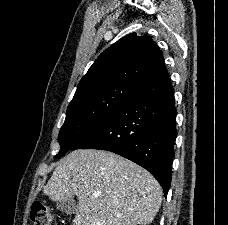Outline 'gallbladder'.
<instances>
[{
  "mask_svg": "<svg viewBox=\"0 0 228 225\" xmlns=\"http://www.w3.org/2000/svg\"><path fill=\"white\" fill-rule=\"evenodd\" d=\"M56 207L59 209V211H62V213H66V215H72V213H75L76 201L72 195V197L65 199V201H57Z\"/></svg>",
  "mask_w": 228,
  "mask_h": 225,
  "instance_id": "gallbladder-1",
  "label": "gallbladder"
}]
</instances>
